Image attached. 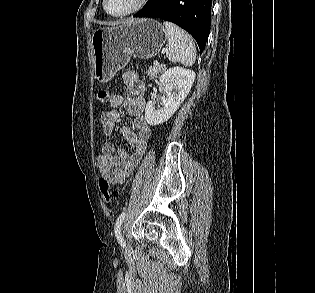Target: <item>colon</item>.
Segmentation results:
<instances>
[{
  "instance_id": "colon-1",
  "label": "colon",
  "mask_w": 315,
  "mask_h": 293,
  "mask_svg": "<svg viewBox=\"0 0 315 293\" xmlns=\"http://www.w3.org/2000/svg\"><path fill=\"white\" fill-rule=\"evenodd\" d=\"M110 95V91L101 90L97 94V99L99 102L105 103L108 101ZM99 189L105 202L109 203L115 197V192L112 190L111 184L104 178L99 180Z\"/></svg>"
}]
</instances>
